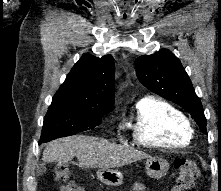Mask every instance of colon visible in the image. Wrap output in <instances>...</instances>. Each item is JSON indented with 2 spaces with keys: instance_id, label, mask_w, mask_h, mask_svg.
<instances>
[{
  "instance_id": "obj_1",
  "label": "colon",
  "mask_w": 221,
  "mask_h": 191,
  "mask_svg": "<svg viewBox=\"0 0 221 191\" xmlns=\"http://www.w3.org/2000/svg\"><path fill=\"white\" fill-rule=\"evenodd\" d=\"M174 166L178 170L176 184L172 191H187L191 189L199 175L197 164L189 159L177 158ZM53 179L61 185L59 191H84L71 180V171L68 165L59 164L53 171Z\"/></svg>"
}]
</instances>
